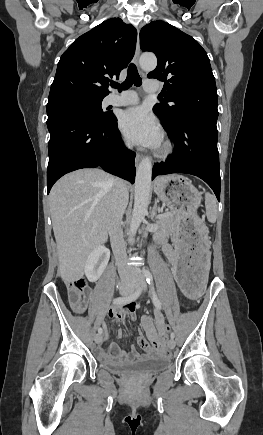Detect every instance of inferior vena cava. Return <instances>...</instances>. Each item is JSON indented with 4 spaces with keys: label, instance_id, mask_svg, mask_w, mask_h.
<instances>
[{
    "label": "inferior vena cava",
    "instance_id": "602c4592",
    "mask_svg": "<svg viewBox=\"0 0 263 435\" xmlns=\"http://www.w3.org/2000/svg\"><path fill=\"white\" fill-rule=\"evenodd\" d=\"M128 198L129 194L125 182L120 179H113L112 199L108 215V233L120 275L133 272L125 262V242L121 229L122 217L128 204Z\"/></svg>",
    "mask_w": 263,
    "mask_h": 435
}]
</instances>
